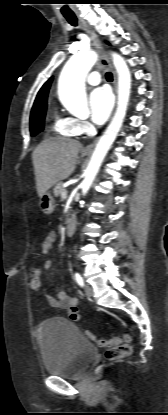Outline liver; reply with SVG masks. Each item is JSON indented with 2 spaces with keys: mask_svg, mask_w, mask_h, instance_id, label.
<instances>
[{
  "mask_svg": "<svg viewBox=\"0 0 168 415\" xmlns=\"http://www.w3.org/2000/svg\"><path fill=\"white\" fill-rule=\"evenodd\" d=\"M81 149L80 142L65 138H49L35 148L32 160L39 197L71 175Z\"/></svg>",
  "mask_w": 168,
  "mask_h": 415,
  "instance_id": "liver-1",
  "label": "liver"
}]
</instances>
